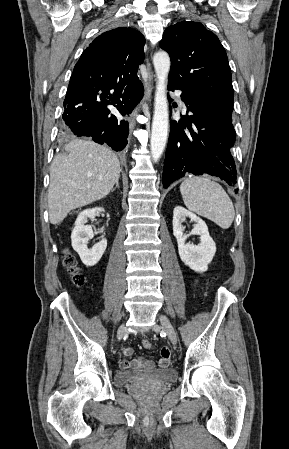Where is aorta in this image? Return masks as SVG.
Returning a JSON list of instances; mask_svg holds the SVG:
<instances>
[{
	"instance_id": "aorta-1",
	"label": "aorta",
	"mask_w": 289,
	"mask_h": 449,
	"mask_svg": "<svg viewBox=\"0 0 289 449\" xmlns=\"http://www.w3.org/2000/svg\"><path fill=\"white\" fill-rule=\"evenodd\" d=\"M153 64L157 77L154 115L152 121V133L150 140V150L154 161H157L166 146L169 115L167 103V81L170 70V58L167 52L159 51L153 57Z\"/></svg>"
}]
</instances>
